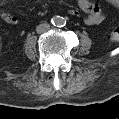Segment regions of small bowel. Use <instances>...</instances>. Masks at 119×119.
I'll list each match as a JSON object with an SVG mask.
<instances>
[{
  "mask_svg": "<svg viewBox=\"0 0 119 119\" xmlns=\"http://www.w3.org/2000/svg\"><path fill=\"white\" fill-rule=\"evenodd\" d=\"M78 5L83 12L87 13V16L84 19V23L86 25L88 26L98 25L103 22L104 15L101 11L100 6L97 3H94L89 0H79ZM70 13L73 15H77L78 11L71 10ZM0 16L2 20L7 24L14 25L18 23L17 17L8 12L3 11Z\"/></svg>",
  "mask_w": 119,
  "mask_h": 119,
  "instance_id": "1",
  "label": "small bowel"
}]
</instances>
